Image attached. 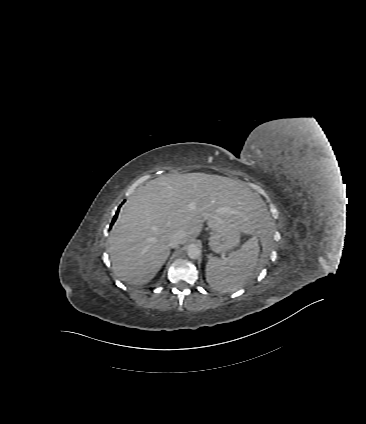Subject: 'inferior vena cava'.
Here are the masks:
<instances>
[{"mask_svg": "<svg viewBox=\"0 0 366 424\" xmlns=\"http://www.w3.org/2000/svg\"><path fill=\"white\" fill-rule=\"evenodd\" d=\"M184 237H185V234L182 231L174 233L169 238V246L172 247V248L177 247L179 244L182 243V240H183Z\"/></svg>", "mask_w": 366, "mask_h": 424, "instance_id": "inferior-vena-cava-1", "label": "inferior vena cava"}]
</instances>
